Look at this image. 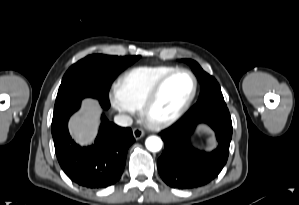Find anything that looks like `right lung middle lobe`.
Masks as SVG:
<instances>
[{
    "mask_svg": "<svg viewBox=\"0 0 299 205\" xmlns=\"http://www.w3.org/2000/svg\"><path fill=\"white\" fill-rule=\"evenodd\" d=\"M139 58L140 56L95 54L73 64L62 79L53 115L85 97L108 101L109 89L114 78Z\"/></svg>",
    "mask_w": 299,
    "mask_h": 205,
    "instance_id": "dd1d6c3e",
    "label": "right lung middle lobe"
}]
</instances>
